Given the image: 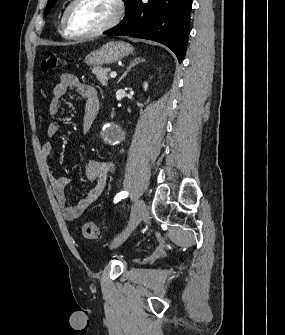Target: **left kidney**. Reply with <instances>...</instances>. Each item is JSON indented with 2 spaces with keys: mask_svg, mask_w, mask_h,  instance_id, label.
<instances>
[{
  "mask_svg": "<svg viewBox=\"0 0 285 335\" xmlns=\"http://www.w3.org/2000/svg\"><path fill=\"white\" fill-rule=\"evenodd\" d=\"M144 88H145V90H147V88H148V84H147V82H145V84H144Z\"/></svg>",
  "mask_w": 285,
  "mask_h": 335,
  "instance_id": "obj_1",
  "label": "left kidney"
}]
</instances>
